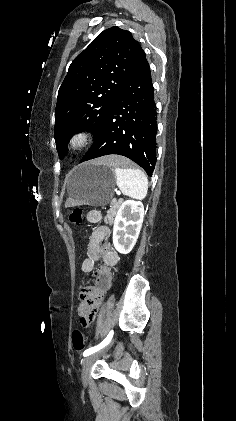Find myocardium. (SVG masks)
I'll return each instance as SVG.
<instances>
[{"instance_id":"f54148a6","label":"myocardium","mask_w":236,"mask_h":421,"mask_svg":"<svg viewBox=\"0 0 236 421\" xmlns=\"http://www.w3.org/2000/svg\"><path fill=\"white\" fill-rule=\"evenodd\" d=\"M91 140L89 130H78L70 135L65 144V151L69 155H75L82 151Z\"/></svg>"}]
</instances>
